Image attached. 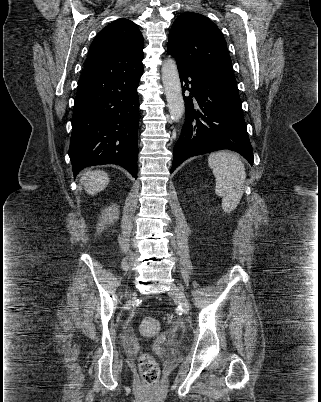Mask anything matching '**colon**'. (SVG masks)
<instances>
[{
	"mask_svg": "<svg viewBox=\"0 0 321 402\" xmlns=\"http://www.w3.org/2000/svg\"><path fill=\"white\" fill-rule=\"evenodd\" d=\"M139 328L142 334L149 336L158 331L159 323L154 318H146L141 321ZM138 366L146 384L154 386L158 383L160 369L153 356L150 354L141 355Z\"/></svg>",
	"mask_w": 321,
	"mask_h": 402,
	"instance_id": "5ec220e1",
	"label": "colon"
}]
</instances>
